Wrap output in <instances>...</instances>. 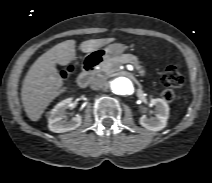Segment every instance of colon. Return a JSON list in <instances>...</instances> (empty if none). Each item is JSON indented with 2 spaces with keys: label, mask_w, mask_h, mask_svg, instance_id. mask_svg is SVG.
<instances>
[{
  "label": "colon",
  "mask_w": 212,
  "mask_h": 183,
  "mask_svg": "<svg viewBox=\"0 0 212 183\" xmlns=\"http://www.w3.org/2000/svg\"><path fill=\"white\" fill-rule=\"evenodd\" d=\"M72 71L73 66H69L67 69L62 71L63 77L65 78ZM183 82V76L174 66L166 68L161 76V84L164 87V90L162 92L163 99L167 102L174 100L176 95L174 89L181 87Z\"/></svg>",
  "instance_id": "5ec220e1"
}]
</instances>
